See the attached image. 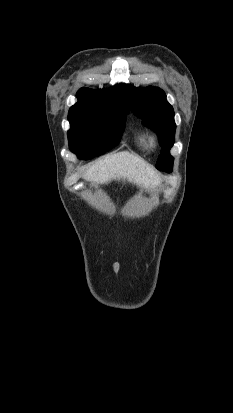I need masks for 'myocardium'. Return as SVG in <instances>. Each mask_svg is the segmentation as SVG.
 Wrapping results in <instances>:
<instances>
[{
	"label": "myocardium",
	"mask_w": 233,
	"mask_h": 413,
	"mask_svg": "<svg viewBox=\"0 0 233 413\" xmlns=\"http://www.w3.org/2000/svg\"><path fill=\"white\" fill-rule=\"evenodd\" d=\"M150 144L155 146L157 144V138L155 136L150 137Z\"/></svg>",
	"instance_id": "obj_1"
}]
</instances>
